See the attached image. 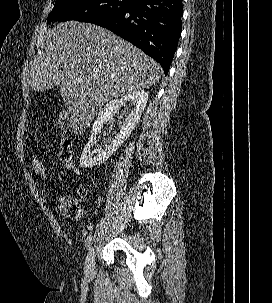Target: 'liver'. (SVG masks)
<instances>
[{
  "label": "liver",
  "instance_id": "6515ba94",
  "mask_svg": "<svg viewBox=\"0 0 272 303\" xmlns=\"http://www.w3.org/2000/svg\"><path fill=\"white\" fill-rule=\"evenodd\" d=\"M161 74L155 60L111 31L68 21L47 32L45 52L31 66L30 85L38 92L59 86L70 128L80 135L106 102L149 88Z\"/></svg>",
  "mask_w": 272,
  "mask_h": 303
}]
</instances>
